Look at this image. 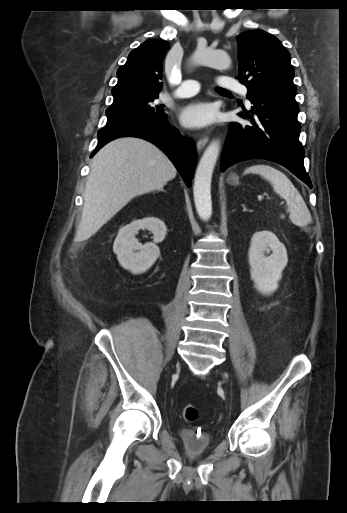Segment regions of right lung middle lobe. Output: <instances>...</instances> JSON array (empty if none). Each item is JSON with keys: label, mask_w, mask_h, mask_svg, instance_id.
<instances>
[{"label": "right lung middle lobe", "mask_w": 347, "mask_h": 513, "mask_svg": "<svg viewBox=\"0 0 347 513\" xmlns=\"http://www.w3.org/2000/svg\"><path fill=\"white\" fill-rule=\"evenodd\" d=\"M158 95L125 98L114 102L107 110V122L127 117H143L154 121L160 120L166 114L163 105L154 101Z\"/></svg>", "instance_id": "1"}]
</instances>
